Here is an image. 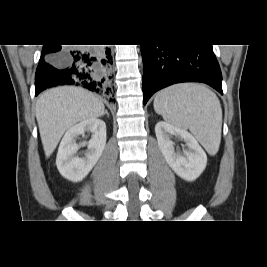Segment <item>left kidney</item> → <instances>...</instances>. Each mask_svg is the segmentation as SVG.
Instances as JSON below:
<instances>
[{"mask_svg": "<svg viewBox=\"0 0 267 267\" xmlns=\"http://www.w3.org/2000/svg\"><path fill=\"white\" fill-rule=\"evenodd\" d=\"M159 148L172 170L182 179L194 181L206 168L207 156L197 140L185 129L160 121L155 126ZM184 140L187 149L175 151L173 137Z\"/></svg>", "mask_w": 267, "mask_h": 267, "instance_id": "1", "label": "left kidney"}]
</instances>
